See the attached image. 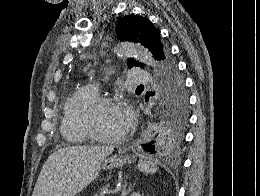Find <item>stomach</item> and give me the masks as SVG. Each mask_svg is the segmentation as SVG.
I'll use <instances>...</instances> for the list:
<instances>
[{
  "instance_id": "1",
  "label": "stomach",
  "mask_w": 260,
  "mask_h": 196,
  "mask_svg": "<svg viewBox=\"0 0 260 196\" xmlns=\"http://www.w3.org/2000/svg\"><path fill=\"white\" fill-rule=\"evenodd\" d=\"M128 162H134V156H132V154H127V150L122 148L116 156L103 160L101 168L102 170H113V168H122V166H125Z\"/></svg>"
}]
</instances>
